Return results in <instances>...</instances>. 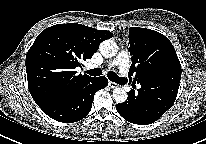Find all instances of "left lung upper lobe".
Segmentation results:
<instances>
[{
    "mask_svg": "<svg viewBox=\"0 0 206 144\" xmlns=\"http://www.w3.org/2000/svg\"><path fill=\"white\" fill-rule=\"evenodd\" d=\"M129 43L133 82L144 85L148 95L168 92L177 96L182 71L169 39L151 29L131 27Z\"/></svg>",
    "mask_w": 206,
    "mask_h": 144,
    "instance_id": "1",
    "label": "left lung upper lobe"
}]
</instances>
